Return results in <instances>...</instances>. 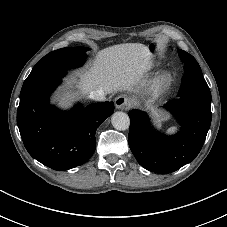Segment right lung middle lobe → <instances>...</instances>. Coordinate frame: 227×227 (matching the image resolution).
<instances>
[{"mask_svg":"<svg viewBox=\"0 0 227 227\" xmlns=\"http://www.w3.org/2000/svg\"><path fill=\"white\" fill-rule=\"evenodd\" d=\"M86 47H66L50 52L44 56L32 69L24 83L39 76L54 71H67L82 66L85 62Z\"/></svg>","mask_w":227,"mask_h":227,"instance_id":"1","label":"right lung middle lobe"}]
</instances>
